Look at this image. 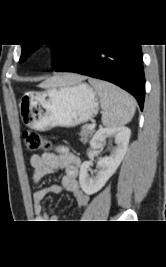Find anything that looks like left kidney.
Returning a JSON list of instances; mask_svg holds the SVG:
<instances>
[{
    "label": "left kidney",
    "instance_id": "5707ae66",
    "mask_svg": "<svg viewBox=\"0 0 166 267\" xmlns=\"http://www.w3.org/2000/svg\"><path fill=\"white\" fill-rule=\"evenodd\" d=\"M131 135V130L127 127H108L100 128L90 141V149L87 151L91 154L95 150L101 149L104 146L105 140L110 137L115 138V148L109 156L101 158L97 166L99 170L96 175H89L90 162L85 161L80 167L79 182L82 190L87 195H92L98 192L115 173L121 161L123 160Z\"/></svg>",
    "mask_w": 166,
    "mask_h": 267
}]
</instances>
